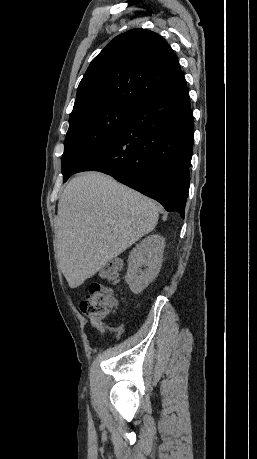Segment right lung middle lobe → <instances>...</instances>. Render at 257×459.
<instances>
[{"label": "right lung middle lobe", "mask_w": 257, "mask_h": 459, "mask_svg": "<svg viewBox=\"0 0 257 459\" xmlns=\"http://www.w3.org/2000/svg\"><path fill=\"white\" fill-rule=\"evenodd\" d=\"M135 108L109 106L69 121L62 156L64 182L94 153L107 145L131 121Z\"/></svg>", "instance_id": "1"}]
</instances>
